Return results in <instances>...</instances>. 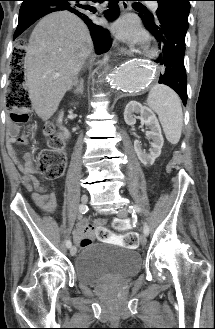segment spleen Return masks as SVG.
Segmentation results:
<instances>
[{"instance_id":"spleen-1","label":"spleen","mask_w":215,"mask_h":329,"mask_svg":"<svg viewBox=\"0 0 215 329\" xmlns=\"http://www.w3.org/2000/svg\"><path fill=\"white\" fill-rule=\"evenodd\" d=\"M147 105L157 113L166 139L173 145L181 137L183 113L179 96L166 85H155L149 92Z\"/></svg>"}]
</instances>
